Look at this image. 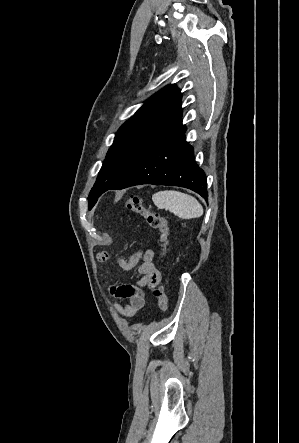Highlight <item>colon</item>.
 Instances as JSON below:
<instances>
[{
	"label": "colon",
	"instance_id": "obj_1",
	"mask_svg": "<svg viewBox=\"0 0 299 443\" xmlns=\"http://www.w3.org/2000/svg\"><path fill=\"white\" fill-rule=\"evenodd\" d=\"M125 208L141 216L151 228L159 230L161 255L165 256L168 247V224L166 219L159 213L153 212L144 206L142 199L137 195H131L126 200ZM153 295L159 302L160 312L162 314L165 313L168 308V301L160 285L154 288Z\"/></svg>",
	"mask_w": 299,
	"mask_h": 443
}]
</instances>
